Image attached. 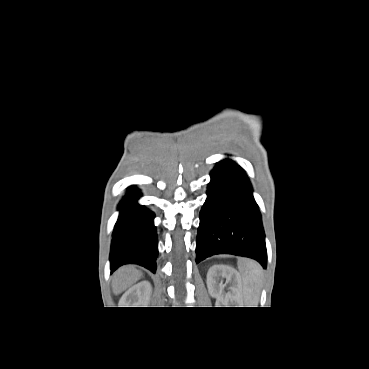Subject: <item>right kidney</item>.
<instances>
[{
    "label": "right kidney",
    "mask_w": 369,
    "mask_h": 369,
    "mask_svg": "<svg viewBox=\"0 0 369 369\" xmlns=\"http://www.w3.org/2000/svg\"><path fill=\"white\" fill-rule=\"evenodd\" d=\"M152 287L150 282L142 281L130 287L125 293V300L131 307H147Z\"/></svg>",
    "instance_id": "ca27d5eb"
}]
</instances>
